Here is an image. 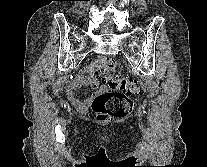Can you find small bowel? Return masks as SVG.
Returning a JSON list of instances; mask_svg holds the SVG:
<instances>
[{"label": "small bowel", "mask_w": 207, "mask_h": 167, "mask_svg": "<svg viewBox=\"0 0 207 167\" xmlns=\"http://www.w3.org/2000/svg\"><path fill=\"white\" fill-rule=\"evenodd\" d=\"M82 85H88L93 89H98V83L91 77L89 72H84L68 85L66 93L69 101L76 110H78L79 112H86L90 107L94 96L91 95L87 97L84 101H81L76 96V90Z\"/></svg>", "instance_id": "obj_1"}]
</instances>
